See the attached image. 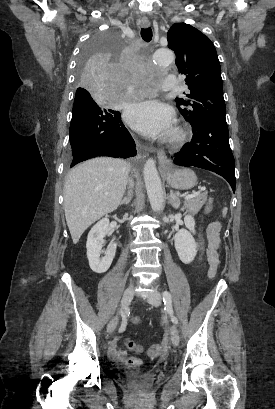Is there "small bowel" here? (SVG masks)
<instances>
[{
    "mask_svg": "<svg viewBox=\"0 0 275 409\" xmlns=\"http://www.w3.org/2000/svg\"><path fill=\"white\" fill-rule=\"evenodd\" d=\"M219 232H220V224L218 222L212 223L208 231L209 247H208L207 258L210 264V269L211 267L217 268V265H218ZM214 275H211L209 272L210 277H213ZM131 322L134 325H138L142 322V319L140 317H134L132 318ZM109 355L113 360L117 362H122L129 366H138L142 364V361L140 359L136 357H128L125 351L118 348L117 340H114L110 343Z\"/></svg>",
    "mask_w": 275,
    "mask_h": 409,
    "instance_id": "obj_1",
    "label": "small bowel"
}]
</instances>
